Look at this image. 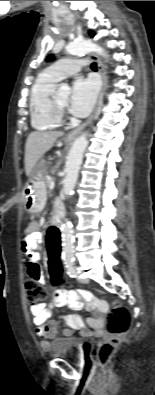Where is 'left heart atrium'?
Here are the masks:
<instances>
[{
    "label": "left heart atrium",
    "mask_w": 155,
    "mask_h": 395,
    "mask_svg": "<svg viewBox=\"0 0 155 395\" xmlns=\"http://www.w3.org/2000/svg\"><path fill=\"white\" fill-rule=\"evenodd\" d=\"M98 92V83L92 78H78L72 86L69 110L77 117H84L91 111Z\"/></svg>",
    "instance_id": "obj_1"
}]
</instances>
